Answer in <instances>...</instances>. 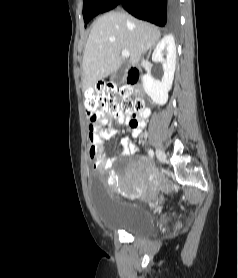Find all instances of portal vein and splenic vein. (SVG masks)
I'll use <instances>...</instances> for the list:
<instances>
[{
  "label": "portal vein and splenic vein",
  "instance_id": "obj_1",
  "mask_svg": "<svg viewBox=\"0 0 238 278\" xmlns=\"http://www.w3.org/2000/svg\"><path fill=\"white\" fill-rule=\"evenodd\" d=\"M121 54H122V56H123L124 58H128V57L130 56V53H129L128 50H123V51L121 52Z\"/></svg>",
  "mask_w": 238,
  "mask_h": 278
}]
</instances>
